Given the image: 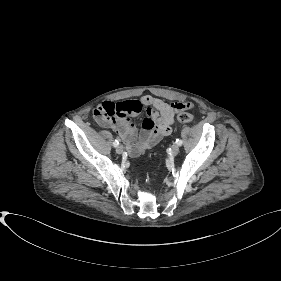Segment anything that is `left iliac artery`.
<instances>
[{"label":"left iliac artery","instance_id":"44dca946","mask_svg":"<svg viewBox=\"0 0 281 281\" xmlns=\"http://www.w3.org/2000/svg\"><path fill=\"white\" fill-rule=\"evenodd\" d=\"M182 143H183V142H182V140H180V139H176V144H177V145L181 146V145H182Z\"/></svg>","mask_w":281,"mask_h":281}]
</instances>
